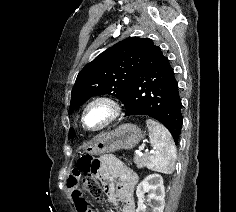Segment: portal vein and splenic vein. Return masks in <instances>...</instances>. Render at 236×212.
<instances>
[{"mask_svg":"<svg viewBox=\"0 0 236 212\" xmlns=\"http://www.w3.org/2000/svg\"><path fill=\"white\" fill-rule=\"evenodd\" d=\"M143 147H140L137 151H136V153H138L139 155H142V151H143ZM150 153H153V151H150Z\"/></svg>","mask_w":236,"mask_h":212,"instance_id":"1","label":"portal vein and splenic vein"}]
</instances>
